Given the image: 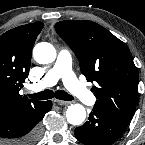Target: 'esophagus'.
Instances as JSON below:
<instances>
[{
  "mask_svg": "<svg viewBox=\"0 0 145 145\" xmlns=\"http://www.w3.org/2000/svg\"><path fill=\"white\" fill-rule=\"evenodd\" d=\"M56 102L58 105H61V106L69 104L68 101H64V100H56Z\"/></svg>",
  "mask_w": 145,
  "mask_h": 145,
  "instance_id": "34e87169",
  "label": "esophagus"
}]
</instances>
